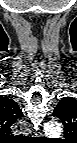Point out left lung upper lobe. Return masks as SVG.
I'll list each match as a JSON object with an SVG mask.
<instances>
[{
	"mask_svg": "<svg viewBox=\"0 0 77 143\" xmlns=\"http://www.w3.org/2000/svg\"><path fill=\"white\" fill-rule=\"evenodd\" d=\"M64 125V135L67 138L77 133V100L71 97L63 98L52 113Z\"/></svg>",
	"mask_w": 77,
	"mask_h": 143,
	"instance_id": "left-lung-upper-lobe-1",
	"label": "left lung upper lobe"
}]
</instances>
